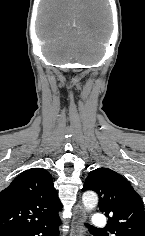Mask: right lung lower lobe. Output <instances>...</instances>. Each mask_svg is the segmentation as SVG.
<instances>
[{
	"mask_svg": "<svg viewBox=\"0 0 145 236\" xmlns=\"http://www.w3.org/2000/svg\"><path fill=\"white\" fill-rule=\"evenodd\" d=\"M60 223V218H56L35 229L6 233L0 236H59L58 226Z\"/></svg>",
	"mask_w": 145,
	"mask_h": 236,
	"instance_id": "right-lung-lower-lobe-1",
	"label": "right lung lower lobe"
}]
</instances>
